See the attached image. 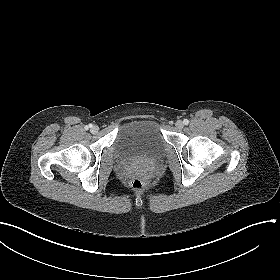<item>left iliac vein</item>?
Masks as SVG:
<instances>
[{"label": "left iliac vein", "instance_id": "left-iliac-vein-1", "mask_svg": "<svg viewBox=\"0 0 280 280\" xmlns=\"http://www.w3.org/2000/svg\"><path fill=\"white\" fill-rule=\"evenodd\" d=\"M175 126L177 129H182L184 124L181 120H178L176 123H175Z\"/></svg>", "mask_w": 280, "mask_h": 280}]
</instances>
